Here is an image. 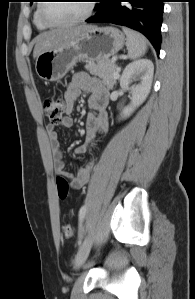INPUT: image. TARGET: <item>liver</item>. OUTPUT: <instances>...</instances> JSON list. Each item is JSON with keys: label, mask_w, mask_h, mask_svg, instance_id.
Wrapping results in <instances>:
<instances>
[{"label": "liver", "mask_w": 195, "mask_h": 299, "mask_svg": "<svg viewBox=\"0 0 195 299\" xmlns=\"http://www.w3.org/2000/svg\"><path fill=\"white\" fill-rule=\"evenodd\" d=\"M89 27L87 25L58 28L48 32L41 33L35 39V47L33 51L34 59L46 51L64 46L71 40L77 39Z\"/></svg>", "instance_id": "obj_1"}]
</instances>
